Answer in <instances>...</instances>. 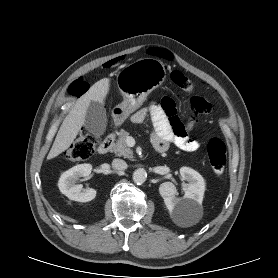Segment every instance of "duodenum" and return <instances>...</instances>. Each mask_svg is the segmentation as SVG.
Returning a JSON list of instances; mask_svg holds the SVG:
<instances>
[{
    "instance_id": "410a0bca",
    "label": "duodenum",
    "mask_w": 278,
    "mask_h": 278,
    "mask_svg": "<svg viewBox=\"0 0 278 278\" xmlns=\"http://www.w3.org/2000/svg\"><path fill=\"white\" fill-rule=\"evenodd\" d=\"M115 141V133L109 134L98 146L99 154H106L111 151Z\"/></svg>"
}]
</instances>
